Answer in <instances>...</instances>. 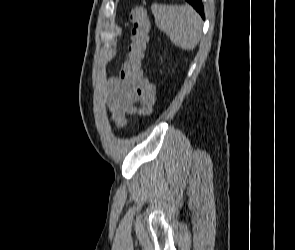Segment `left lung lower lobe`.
Segmentation results:
<instances>
[{"instance_id":"1","label":"left lung lower lobe","mask_w":295,"mask_h":250,"mask_svg":"<svg viewBox=\"0 0 295 250\" xmlns=\"http://www.w3.org/2000/svg\"><path fill=\"white\" fill-rule=\"evenodd\" d=\"M189 2L197 11L198 13L204 18V9L201 0H186Z\"/></svg>"}]
</instances>
